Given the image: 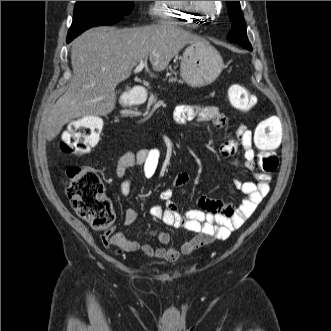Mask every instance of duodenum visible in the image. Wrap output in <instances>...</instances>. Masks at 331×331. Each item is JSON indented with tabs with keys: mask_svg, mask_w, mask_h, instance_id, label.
<instances>
[{
	"mask_svg": "<svg viewBox=\"0 0 331 331\" xmlns=\"http://www.w3.org/2000/svg\"><path fill=\"white\" fill-rule=\"evenodd\" d=\"M146 91L143 86H135L125 94V100L132 105L142 104L145 101Z\"/></svg>",
	"mask_w": 331,
	"mask_h": 331,
	"instance_id": "1",
	"label": "duodenum"
}]
</instances>
